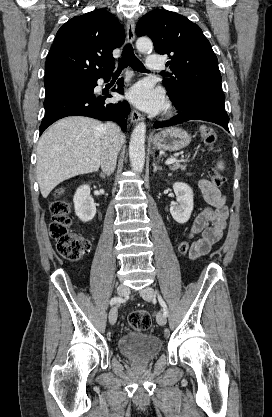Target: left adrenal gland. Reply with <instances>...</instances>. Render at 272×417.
I'll list each match as a JSON object with an SVG mask.
<instances>
[{
	"mask_svg": "<svg viewBox=\"0 0 272 417\" xmlns=\"http://www.w3.org/2000/svg\"><path fill=\"white\" fill-rule=\"evenodd\" d=\"M157 170H162V168L159 167V166H157L156 161H155V158H154V161H153V172L155 173Z\"/></svg>",
	"mask_w": 272,
	"mask_h": 417,
	"instance_id": "1",
	"label": "left adrenal gland"
}]
</instances>
